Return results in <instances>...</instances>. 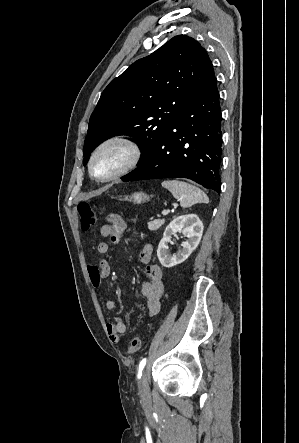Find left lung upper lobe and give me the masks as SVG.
<instances>
[{
	"mask_svg": "<svg viewBox=\"0 0 299 443\" xmlns=\"http://www.w3.org/2000/svg\"><path fill=\"white\" fill-rule=\"evenodd\" d=\"M213 74L205 49L185 35L134 62L103 91L90 117L83 164L97 145L116 135L140 141V164Z\"/></svg>",
	"mask_w": 299,
	"mask_h": 443,
	"instance_id": "left-lung-upper-lobe-1",
	"label": "left lung upper lobe"
}]
</instances>
